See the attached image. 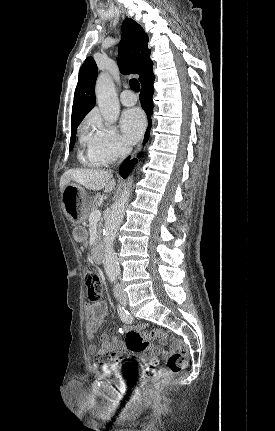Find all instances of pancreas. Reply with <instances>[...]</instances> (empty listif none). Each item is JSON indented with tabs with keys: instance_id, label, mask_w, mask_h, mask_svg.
I'll return each instance as SVG.
<instances>
[{
	"instance_id": "obj_1",
	"label": "pancreas",
	"mask_w": 275,
	"mask_h": 431,
	"mask_svg": "<svg viewBox=\"0 0 275 431\" xmlns=\"http://www.w3.org/2000/svg\"><path fill=\"white\" fill-rule=\"evenodd\" d=\"M102 199L103 198H102V196L100 194H97L94 197V199L92 201V204H91V206L89 208V213H91V212H93V211H95V210H97L99 208V206L102 203ZM88 218H89V216H88ZM100 233H101V223H98V235H100Z\"/></svg>"
}]
</instances>
